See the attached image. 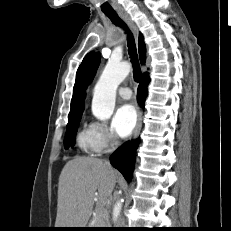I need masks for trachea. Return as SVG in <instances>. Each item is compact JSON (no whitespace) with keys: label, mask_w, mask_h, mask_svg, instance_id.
Wrapping results in <instances>:
<instances>
[{"label":"trachea","mask_w":231,"mask_h":231,"mask_svg":"<svg viewBox=\"0 0 231 231\" xmlns=\"http://www.w3.org/2000/svg\"><path fill=\"white\" fill-rule=\"evenodd\" d=\"M104 14L111 20L113 24L123 28L126 31L128 41V52L133 67V77L135 81L139 82L141 78V69L138 61V55L133 34L130 32L124 21L120 19L116 12H104Z\"/></svg>","instance_id":"trachea-1"}]
</instances>
